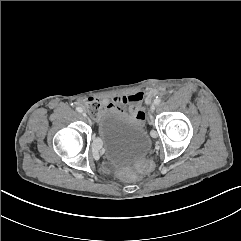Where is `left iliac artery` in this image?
Instances as JSON below:
<instances>
[{
	"label": "left iliac artery",
	"mask_w": 241,
	"mask_h": 241,
	"mask_svg": "<svg viewBox=\"0 0 241 241\" xmlns=\"http://www.w3.org/2000/svg\"><path fill=\"white\" fill-rule=\"evenodd\" d=\"M160 102H161L160 98L156 97V99L154 100V104L158 105L160 104Z\"/></svg>",
	"instance_id": "obj_1"
}]
</instances>
